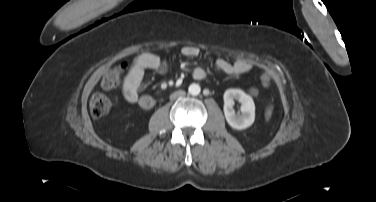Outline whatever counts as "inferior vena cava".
Here are the masks:
<instances>
[{"label":"inferior vena cava","mask_w":376,"mask_h":202,"mask_svg":"<svg viewBox=\"0 0 376 202\" xmlns=\"http://www.w3.org/2000/svg\"><path fill=\"white\" fill-rule=\"evenodd\" d=\"M182 95H184L183 92L176 93V94H174L173 96H171V99H175V98H177V97H179V96H182Z\"/></svg>","instance_id":"602c4592"}]
</instances>
